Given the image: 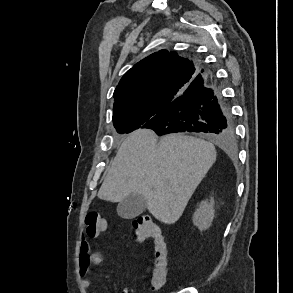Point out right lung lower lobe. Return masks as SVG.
Returning a JSON list of instances; mask_svg holds the SVG:
<instances>
[{
    "label": "right lung lower lobe",
    "mask_w": 293,
    "mask_h": 293,
    "mask_svg": "<svg viewBox=\"0 0 293 293\" xmlns=\"http://www.w3.org/2000/svg\"><path fill=\"white\" fill-rule=\"evenodd\" d=\"M141 128H151L158 135L185 131L207 133L225 145L234 139L230 109L205 74L197 75L167 110Z\"/></svg>",
    "instance_id": "98d812e1"
}]
</instances>
